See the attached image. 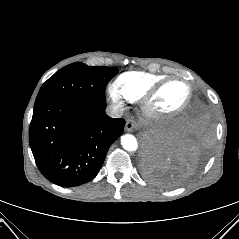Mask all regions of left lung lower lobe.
Wrapping results in <instances>:
<instances>
[{"label":"left lung lower lobe","instance_id":"obj_1","mask_svg":"<svg viewBox=\"0 0 239 239\" xmlns=\"http://www.w3.org/2000/svg\"><path fill=\"white\" fill-rule=\"evenodd\" d=\"M212 133L207 111L192 105L170 129L145 143V177L164 187L182 184L205 162Z\"/></svg>","mask_w":239,"mask_h":239}]
</instances>
